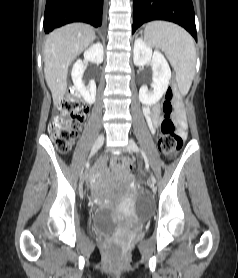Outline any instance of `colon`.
<instances>
[{
    "label": "colon",
    "mask_w": 238,
    "mask_h": 278,
    "mask_svg": "<svg viewBox=\"0 0 238 278\" xmlns=\"http://www.w3.org/2000/svg\"><path fill=\"white\" fill-rule=\"evenodd\" d=\"M175 92L169 86L165 92L162 103L163 121L160 126L158 146L161 153L170 157L176 154L182 146V138L176 131L172 119L174 112ZM59 116L49 125L48 133L56 147L63 153L70 150L75 141L80 126L88 113V107L75 90H69L59 106ZM115 170L130 172L133 163L128 158H114L111 161Z\"/></svg>",
    "instance_id": "5ec220e1"
}]
</instances>
